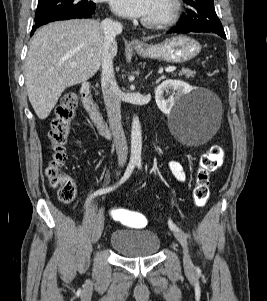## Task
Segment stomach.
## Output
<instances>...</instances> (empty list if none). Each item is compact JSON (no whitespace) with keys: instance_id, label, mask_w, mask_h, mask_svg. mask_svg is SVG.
Returning <instances> with one entry per match:
<instances>
[{"instance_id":"stomach-1","label":"stomach","mask_w":267,"mask_h":301,"mask_svg":"<svg viewBox=\"0 0 267 301\" xmlns=\"http://www.w3.org/2000/svg\"><path fill=\"white\" fill-rule=\"evenodd\" d=\"M135 51L143 57L162 59L166 62H187L201 51V45L194 39L177 35L166 39L158 45L134 46Z\"/></svg>"}]
</instances>
